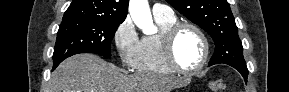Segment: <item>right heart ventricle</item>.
<instances>
[{
  "label": "right heart ventricle",
  "mask_w": 289,
  "mask_h": 92,
  "mask_svg": "<svg viewBox=\"0 0 289 92\" xmlns=\"http://www.w3.org/2000/svg\"><path fill=\"white\" fill-rule=\"evenodd\" d=\"M159 27V32L153 35H146L140 40L138 59L135 69L141 73L167 75L173 71L167 66L162 50L161 36L162 33L177 23V18L171 16H154Z\"/></svg>",
  "instance_id": "right-heart-ventricle-1"
}]
</instances>
